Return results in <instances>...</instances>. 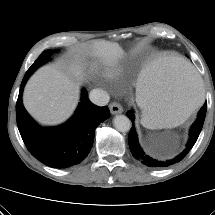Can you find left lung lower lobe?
<instances>
[{
	"label": "left lung lower lobe",
	"instance_id": "obj_1",
	"mask_svg": "<svg viewBox=\"0 0 215 215\" xmlns=\"http://www.w3.org/2000/svg\"><path fill=\"white\" fill-rule=\"evenodd\" d=\"M206 110H207V103H205L202 106V108L198 112L196 121L191 126L189 140L186 144V148L175 158L171 160H161L147 155L144 152V150L141 148L138 142V136L134 126H132L128 136L129 147L132 152V155L134 156L135 159L139 160L142 164L148 167H156V168L168 167L170 165L180 162L188 154V152L191 150V148L197 141L204 123ZM127 116L130 118V120H132V123L134 125V122H133L135 118L134 112L132 110H129L127 112Z\"/></svg>",
	"mask_w": 215,
	"mask_h": 215
}]
</instances>
